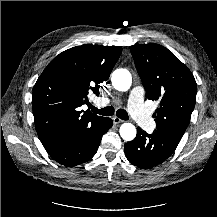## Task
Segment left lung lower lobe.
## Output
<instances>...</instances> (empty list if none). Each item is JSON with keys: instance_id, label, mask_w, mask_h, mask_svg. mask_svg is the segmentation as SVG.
<instances>
[{"instance_id": "obj_1", "label": "left lung lower lobe", "mask_w": 217, "mask_h": 217, "mask_svg": "<svg viewBox=\"0 0 217 217\" xmlns=\"http://www.w3.org/2000/svg\"><path fill=\"white\" fill-rule=\"evenodd\" d=\"M181 139L156 129L148 134L137 128L136 138L124 145L130 163L149 169L164 162L176 149Z\"/></svg>"}]
</instances>
